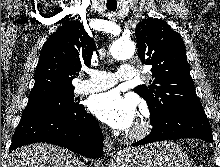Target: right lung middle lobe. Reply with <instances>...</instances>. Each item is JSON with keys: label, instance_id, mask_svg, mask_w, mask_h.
<instances>
[{"label": "right lung middle lobe", "instance_id": "1", "mask_svg": "<svg viewBox=\"0 0 220 167\" xmlns=\"http://www.w3.org/2000/svg\"><path fill=\"white\" fill-rule=\"evenodd\" d=\"M74 89H69L56 94L29 99L27 106L23 111V115L31 111L39 109H59L69 111L79 106L77 100L74 98Z\"/></svg>", "mask_w": 220, "mask_h": 167}]
</instances>
